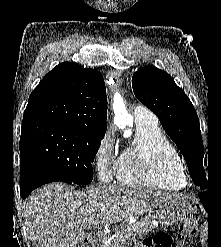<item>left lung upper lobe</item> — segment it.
Returning <instances> with one entry per match:
<instances>
[{"label":"left lung upper lobe","instance_id":"obj_1","mask_svg":"<svg viewBox=\"0 0 221 247\" xmlns=\"http://www.w3.org/2000/svg\"><path fill=\"white\" fill-rule=\"evenodd\" d=\"M132 87L136 98L157 115L166 133L176 143L192 180L206 189L199 119L183 89L167 72L153 65L145 66L133 75Z\"/></svg>","mask_w":221,"mask_h":247}]
</instances>
